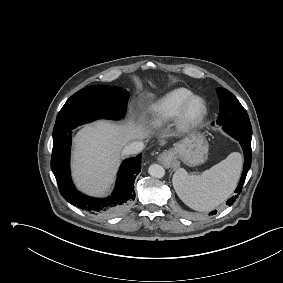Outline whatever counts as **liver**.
<instances>
[{
  "mask_svg": "<svg viewBox=\"0 0 283 283\" xmlns=\"http://www.w3.org/2000/svg\"><path fill=\"white\" fill-rule=\"evenodd\" d=\"M146 136L144 128L132 121L100 120L84 126L74 137L72 169L77 187L90 195H104L113 183L122 149Z\"/></svg>",
  "mask_w": 283,
  "mask_h": 283,
  "instance_id": "6515ba94",
  "label": "liver"
}]
</instances>
